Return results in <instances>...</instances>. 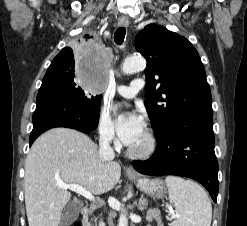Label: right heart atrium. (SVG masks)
<instances>
[{
	"label": "right heart atrium",
	"instance_id": "1",
	"mask_svg": "<svg viewBox=\"0 0 247 226\" xmlns=\"http://www.w3.org/2000/svg\"><path fill=\"white\" fill-rule=\"evenodd\" d=\"M97 131L100 139L105 143H116L114 124L107 108H102L97 122Z\"/></svg>",
	"mask_w": 247,
	"mask_h": 226
}]
</instances>
